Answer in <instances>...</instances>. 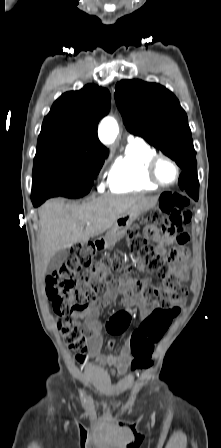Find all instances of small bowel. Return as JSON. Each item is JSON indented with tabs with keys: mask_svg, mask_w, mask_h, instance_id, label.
I'll return each instance as SVG.
<instances>
[{
	"mask_svg": "<svg viewBox=\"0 0 221 448\" xmlns=\"http://www.w3.org/2000/svg\"><path fill=\"white\" fill-rule=\"evenodd\" d=\"M146 232L157 235V229L154 226H148ZM188 241L189 234L185 232L175 236H163L157 246V251L161 255L167 257L170 261L171 268L180 272L184 279H187V271L189 267L187 250ZM172 243L174 244V247L172 250L168 251L167 246ZM106 284L107 289L105 293L99 296L94 304L80 312L74 313L72 319L74 322H83L84 330L89 334L84 353L97 359L103 365L112 368V374L114 376H121L127 371L128 366L134 359L131 340L126 342L118 352H111L106 355L101 354L100 350L104 341V332L103 323L100 318V310L110 304L118 294L122 296V305L127 309L132 305L137 304L138 300L132 294L128 279L108 274ZM181 302V300L177 301L179 304ZM154 311L155 309H150L144 306L140 307V313L144 319L150 317ZM130 321L131 313L128 310L118 312L109 319L108 332L112 335H120L127 329ZM108 345L110 348H113L115 341H109Z\"/></svg>",
	"mask_w": 221,
	"mask_h": 448,
	"instance_id": "small-bowel-1",
	"label": "small bowel"
}]
</instances>
